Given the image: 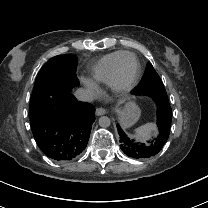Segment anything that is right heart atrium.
Listing matches in <instances>:
<instances>
[{
  "label": "right heart atrium",
  "mask_w": 208,
  "mask_h": 208,
  "mask_svg": "<svg viewBox=\"0 0 208 208\" xmlns=\"http://www.w3.org/2000/svg\"><path fill=\"white\" fill-rule=\"evenodd\" d=\"M81 81L92 97L97 98L101 95V89L91 79L87 77H82Z\"/></svg>",
  "instance_id": "1"
}]
</instances>
